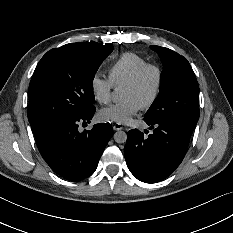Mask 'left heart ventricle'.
<instances>
[{"label":"left heart ventricle","mask_w":233,"mask_h":233,"mask_svg":"<svg viewBox=\"0 0 233 233\" xmlns=\"http://www.w3.org/2000/svg\"><path fill=\"white\" fill-rule=\"evenodd\" d=\"M157 76L154 70L147 71L135 87H123L122 99L134 98L142 105L148 101L155 89Z\"/></svg>","instance_id":"obj_1"}]
</instances>
